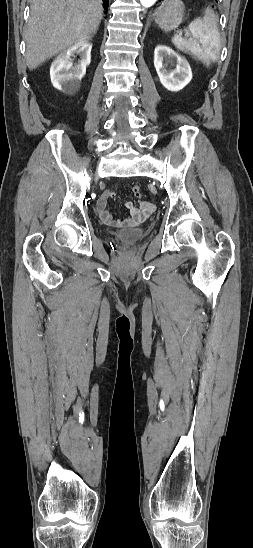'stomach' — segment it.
Listing matches in <instances>:
<instances>
[{
  "mask_svg": "<svg viewBox=\"0 0 253 548\" xmlns=\"http://www.w3.org/2000/svg\"><path fill=\"white\" fill-rule=\"evenodd\" d=\"M185 6L181 0H165L154 14V20L158 26L171 31L182 22Z\"/></svg>",
  "mask_w": 253,
  "mask_h": 548,
  "instance_id": "stomach-1",
  "label": "stomach"
}]
</instances>
